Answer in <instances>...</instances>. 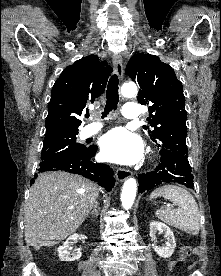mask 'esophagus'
I'll use <instances>...</instances> for the list:
<instances>
[{
    "instance_id": "34e87169",
    "label": "esophagus",
    "mask_w": 221,
    "mask_h": 276,
    "mask_svg": "<svg viewBox=\"0 0 221 276\" xmlns=\"http://www.w3.org/2000/svg\"><path fill=\"white\" fill-rule=\"evenodd\" d=\"M113 65H114V69L116 71V74H117L118 78L120 80H122L123 79V75H124V68H123V64H122V59H121V57L119 55H114V57H113ZM129 176H130L129 170L119 168L116 171V179L118 181H120V182H123Z\"/></svg>"
}]
</instances>
